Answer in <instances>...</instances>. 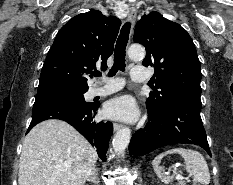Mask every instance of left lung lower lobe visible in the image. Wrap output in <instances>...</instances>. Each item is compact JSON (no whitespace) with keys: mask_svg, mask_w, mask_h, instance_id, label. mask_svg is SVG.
Masks as SVG:
<instances>
[{"mask_svg":"<svg viewBox=\"0 0 233 185\" xmlns=\"http://www.w3.org/2000/svg\"><path fill=\"white\" fill-rule=\"evenodd\" d=\"M201 93L188 92L174 99L159 114L148 111L149 122L131 138L129 153L141 156L176 143L196 144L211 156L200 117Z\"/></svg>","mask_w":233,"mask_h":185,"instance_id":"0a47b994","label":"left lung lower lobe"}]
</instances>
